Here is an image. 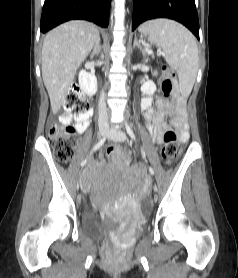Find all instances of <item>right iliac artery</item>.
<instances>
[{
	"label": "right iliac artery",
	"mask_w": 238,
	"mask_h": 278,
	"mask_svg": "<svg viewBox=\"0 0 238 278\" xmlns=\"http://www.w3.org/2000/svg\"><path fill=\"white\" fill-rule=\"evenodd\" d=\"M105 140H106L105 137H104L103 139H101V140L93 147V149H92V151H91V154H92L94 151L98 150V149L104 144ZM86 161H87V159H85V160H83V161L81 162V166H82V167L86 164Z\"/></svg>",
	"instance_id": "1"
}]
</instances>
